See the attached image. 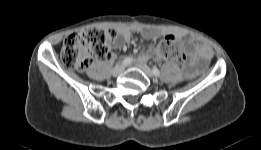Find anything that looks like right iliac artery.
Listing matches in <instances>:
<instances>
[{"instance_id":"obj_1","label":"right iliac artery","mask_w":261,"mask_h":150,"mask_svg":"<svg viewBox=\"0 0 261 150\" xmlns=\"http://www.w3.org/2000/svg\"><path fill=\"white\" fill-rule=\"evenodd\" d=\"M132 58L131 57H127V58H125L124 60H123V62H122V65H128V64H130L131 62H132Z\"/></svg>"}]
</instances>
